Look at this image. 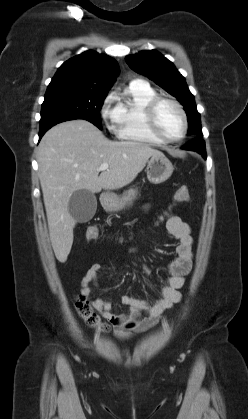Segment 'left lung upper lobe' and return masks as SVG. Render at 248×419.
I'll list each match as a JSON object with an SVG mask.
<instances>
[{
    "mask_svg": "<svg viewBox=\"0 0 248 419\" xmlns=\"http://www.w3.org/2000/svg\"><path fill=\"white\" fill-rule=\"evenodd\" d=\"M135 72L147 76L168 93L175 96L184 106L188 120V133L202 137L200 114L197 111L194 96L190 92L185 78L172 62L156 50L141 51L125 58Z\"/></svg>",
    "mask_w": 248,
    "mask_h": 419,
    "instance_id": "1",
    "label": "left lung upper lobe"
}]
</instances>
